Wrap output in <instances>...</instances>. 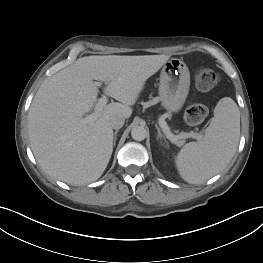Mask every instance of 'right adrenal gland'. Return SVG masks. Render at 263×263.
I'll list each match as a JSON object with an SVG mask.
<instances>
[{
    "label": "right adrenal gland",
    "mask_w": 263,
    "mask_h": 263,
    "mask_svg": "<svg viewBox=\"0 0 263 263\" xmlns=\"http://www.w3.org/2000/svg\"><path fill=\"white\" fill-rule=\"evenodd\" d=\"M117 133H118V130H116L114 133V146L116 145Z\"/></svg>",
    "instance_id": "1"
}]
</instances>
